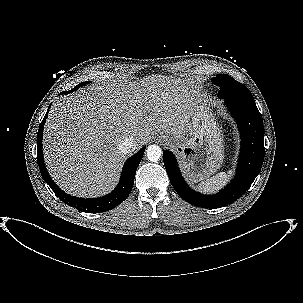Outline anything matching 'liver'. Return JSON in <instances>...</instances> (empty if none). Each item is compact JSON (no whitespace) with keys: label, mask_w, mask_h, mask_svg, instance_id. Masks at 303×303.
Listing matches in <instances>:
<instances>
[{"label":"liver","mask_w":303,"mask_h":303,"mask_svg":"<svg viewBox=\"0 0 303 303\" xmlns=\"http://www.w3.org/2000/svg\"><path fill=\"white\" fill-rule=\"evenodd\" d=\"M200 104L186 78L150 75L125 83L99 78L53 103L43 136L48 171L69 194L104 195L127 158L119 150L122 140L133 137L136 150L156 133L181 139Z\"/></svg>","instance_id":"6515ba94"}]
</instances>
